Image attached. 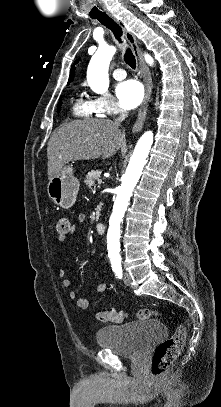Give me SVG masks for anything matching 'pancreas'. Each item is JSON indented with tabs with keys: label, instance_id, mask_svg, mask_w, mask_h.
<instances>
[{
	"label": "pancreas",
	"instance_id": "obj_1",
	"mask_svg": "<svg viewBox=\"0 0 221 407\" xmlns=\"http://www.w3.org/2000/svg\"><path fill=\"white\" fill-rule=\"evenodd\" d=\"M100 174H101L100 170H92V171H90L86 175L85 180H84L86 186H88L89 188L94 186L95 182L97 180H99ZM99 215H100V208H98L97 213H96V219L97 220L99 218Z\"/></svg>",
	"mask_w": 221,
	"mask_h": 407
}]
</instances>
